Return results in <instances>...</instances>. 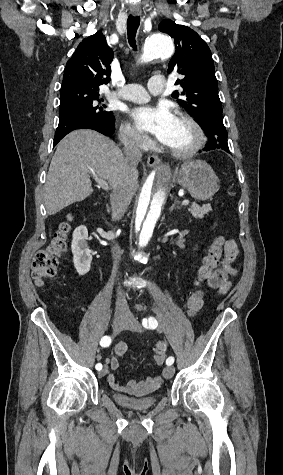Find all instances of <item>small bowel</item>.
<instances>
[{
  "mask_svg": "<svg viewBox=\"0 0 283 475\" xmlns=\"http://www.w3.org/2000/svg\"><path fill=\"white\" fill-rule=\"evenodd\" d=\"M227 250L225 255L222 257V269L218 271L217 274H213L211 283H206L210 288L218 290L220 293L225 294L229 291L231 287L230 278L238 274V269L234 266L236 258L239 253L238 246L233 239H227ZM206 294L203 290H197L189 295L186 300V305L188 308L187 314L190 318H195L205 306ZM127 347L125 344L120 343L115 347V356H112L109 361L110 369L115 371L119 368V359L125 354ZM107 381L109 385L118 390L120 385L116 380L114 374L110 373L107 376ZM161 377L158 375L151 376L146 380V383L151 386L159 385ZM133 386V384H131Z\"/></svg>",
  "mask_w": 283,
  "mask_h": 475,
  "instance_id": "small-bowel-1",
  "label": "small bowel"
}]
</instances>
